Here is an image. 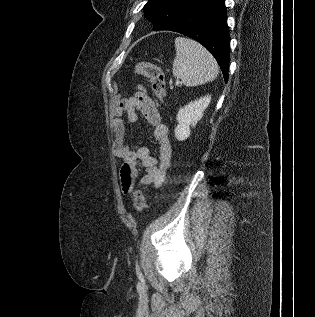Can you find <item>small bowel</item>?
<instances>
[{
  "label": "small bowel",
  "instance_id": "small-bowel-1",
  "mask_svg": "<svg viewBox=\"0 0 315 317\" xmlns=\"http://www.w3.org/2000/svg\"><path fill=\"white\" fill-rule=\"evenodd\" d=\"M138 112L154 128L158 158L151 155L148 147L130 146L126 142V128L121 117L125 114L129 122L136 123ZM112 115L110 128L114 134L113 154L122 162L120 178L123 191L127 193L132 189L140 167L147 170L140 180L141 184L161 186L171 165L172 147L168 127L162 122L154 101L141 90L134 97L115 106Z\"/></svg>",
  "mask_w": 315,
  "mask_h": 317
}]
</instances>
